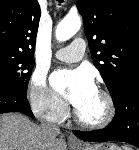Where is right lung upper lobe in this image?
Returning <instances> with one entry per match:
<instances>
[{
	"label": "right lung upper lobe",
	"mask_w": 139,
	"mask_h": 150,
	"mask_svg": "<svg viewBox=\"0 0 139 150\" xmlns=\"http://www.w3.org/2000/svg\"><path fill=\"white\" fill-rule=\"evenodd\" d=\"M40 16L37 0H0V50L33 56Z\"/></svg>",
	"instance_id": "right-lung-upper-lobe-1"
}]
</instances>
